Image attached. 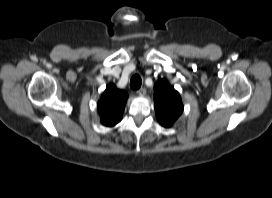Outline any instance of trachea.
Returning a JSON list of instances; mask_svg holds the SVG:
<instances>
[{
  "instance_id": "1",
  "label": "trachea",
  "mask_w": 272,
  "mask_h": 198,
  "mask_svg": "<svg viewBox=\"0 0 272 198\" xmlns=\"http://www.w3.org/2000/svg\"><path fill=\"white\" fill-rule=\"evenodd\" d=\"M141 84H142V80L138 74H135L134 76H132V78L130 80L131 89L137 90L141 87Z\"/></svg>"
}]
</instances>
